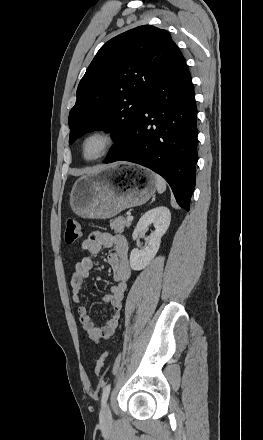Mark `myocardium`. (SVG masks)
<instances>
[{"label": "myocardium", "mask_w": 263, "mask_h": 440, "mask_svg": "<svg viewBox=\"0 0 263 440\" xmlns=\"http://www.w3.org/2000/svg\"><path fill=\"white\" fill-rule=\"evenodd\" d=\"M93 137H99L103 140V147L101 149V151L94 157H87L85 154V145L87 143V141ZM116 143V139L114 134L106 129V128H94L90 131H88L80 140L79 143V153L80 156L82 158V160H84L85 162H95L98 161L102 158H104L105 156H107L110 151L113 149V147L115 146Z\"/></svg>", "instance_id": "f54148a6"}]
</instances>
